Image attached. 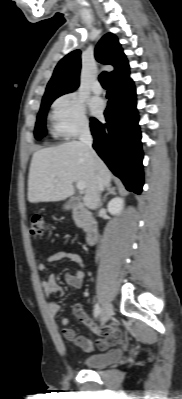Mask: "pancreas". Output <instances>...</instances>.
Returning <instances> with one entry per match:
<instances>
[{
	"label": "pancreas",
	"mask_w": 182,
	"mask_h": 399,
	"mask_svg": "<svg viewBox=\"0 0 182 399\" xmlns=\"http://www.w3.org/2000/svg\"><path fill=\"white\" fill-rule=\"evenodd\" d=\"M75 223L78 227H84V223L82 221H80L76 215L73 216Z\"/></svg>",
	"instance_id": "obj_1"
}]
</instances>
